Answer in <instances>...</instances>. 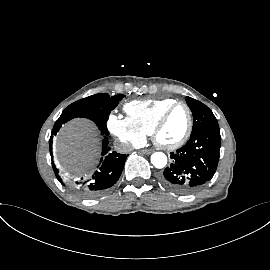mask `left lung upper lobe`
Listing matches in <instances>:
<instances>
[{
    "label": "left lung upper lobe",
    "mask_w": 270,
    "mask_h": 270,
    "mask_svg": "<svg viewBox=\"0 0 270 270\" xmlns=\"http://www.w3.org/2000/svg\"><path fill=\"white\" fill-rule=\"evenodd\" d=\"M186 102L191 109L194 118L191 135H194L202 129L219 128L217 119L206 105L191 97H187Z\"/></svg>",
    "instance_id": "1"
}]
</instances>
